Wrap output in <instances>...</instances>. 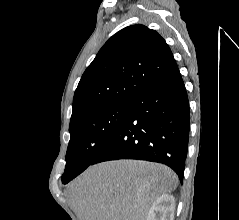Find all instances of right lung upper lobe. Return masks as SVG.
Returning <instances> with one entry per match:
<instances>
[{"label":"right lung upper lobe","instance_id":"cb5924a9","mask_svg":"<svg viewBox=\"0 0 239 220\" xmlns=\"http://www.w3.org/2000/svg\"><path fill=\"white\" fill-rule=\"evenodd\" d=\"M176 67L169 46L155 30L139 24L120 30L82 75L70 123L97 110L130 104Z\"/></svg>","mask_w":239,"mask_h":220}]
</instances>
